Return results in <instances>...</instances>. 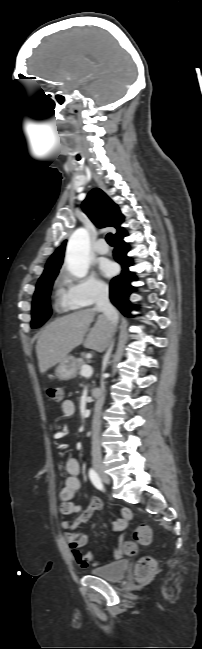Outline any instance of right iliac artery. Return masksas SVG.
<instances>
[{"mask_svg":"<svg viewBox=\"0 0 202 649\" xmlns=\"http://www.w3.org/2000/svg\"><path fill=\"white\" fill-rule=\"evenodd\" d=\"M89 477H90L91 482L93 483V485L97 489L104 490L102 481H101L99 475L97 474V472L94 469L89 470Z\"/></svg>","mask_w":202,"mask_h":649,"instance_id":"obj_1","label":"right iliac artery"}]
</instances>
